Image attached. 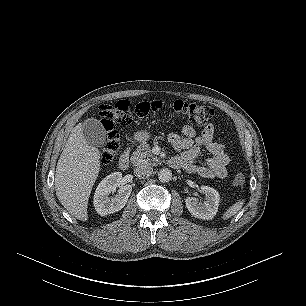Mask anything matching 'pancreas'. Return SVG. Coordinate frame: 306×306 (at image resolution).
Masks as SVG:
<instances>
[{
	"label": "pancreas",
	"instance_id": "pancreas-1",
	"mask_svg": "<svg viewBox=\"0 0 306 306\" xmlns=\"http://www.w3.org/2000/svg\"><path fill=\"white\" fill-rule=\"evenodd\" d=\"M131 162L135 166L152 165L157 158L151 152V148L147 143L140 144L131 155Z\"/></svg>",
	"mask_w": 306,
	"mask_h": 306
}]
</instances>
